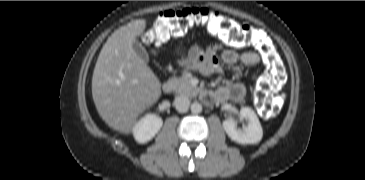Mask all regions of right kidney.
<instances>
[{
  "label": "right kidney",
  "instance_id": "ca27d5eb",
  "mask_svg": "<svg viewBox=\"0 0 365 180\" xmlns=\"http://www.w3.org/2000/svg\"><path fill=\"white\" fill-rule=\"evenodd\" d=\"M162 119L155 114H148L133 127L135 140L139 143L150 141L161 129Z\"/></svg>",
  "mask_w": 365,
  "mask_h": 180
}]
</instances>
